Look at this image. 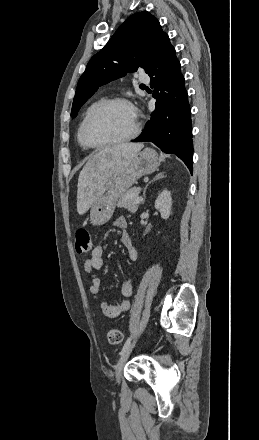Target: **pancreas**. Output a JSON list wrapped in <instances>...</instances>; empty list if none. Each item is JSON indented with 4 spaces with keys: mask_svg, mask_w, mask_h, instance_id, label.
<instances>
[{
    "mask_svg": "<svg viewBox=\"0 0 259 440\" xmlns=\"http://www.w3.org/2000/svg\"><path fill=\"white\" fill-rule=\"evenodd\" d=\"M140 188L133 187L124 193L117 202L118 208L128 209L130 212L135 213L138 209V205L135 203L137 197H139Z\"/></svg>",
    "mask_w": 259,
    "mask_h": 440,
    "instance_id": "1",
    "label": "pancreas"
}]
</instances>
